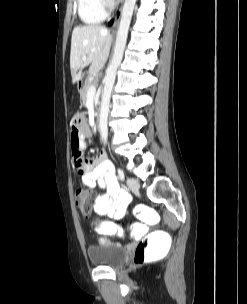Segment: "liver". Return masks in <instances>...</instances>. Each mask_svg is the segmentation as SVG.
I'll use <instances>...</instances> for the list:
<instances>
[{
  "mask_svg": "<svg viewBox=\"0 0 247 304\" xmlns=\"http://www.w3.org/2000/svg\"><path fill=\"white\" fill-rule=\"evenodd\" d=\"M112 36L100 25L77 26L72 32L70 68L72 83L82 79V70L90 64L89 74H97L105 65ZM86 56V60L83 57Z\"/></svg>",
  "mask_w": 247,
  "mask_h": 304,
  "instance_id": "6515ba94",
  "label": "liver"
}]
</instances>
